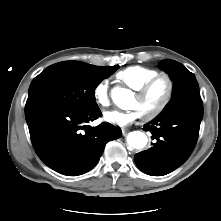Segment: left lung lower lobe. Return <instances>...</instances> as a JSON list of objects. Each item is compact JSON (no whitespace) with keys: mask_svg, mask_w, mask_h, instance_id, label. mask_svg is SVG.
Listing matches in <instances>:
<instances>
[{"mask_svg":"<svg viewBox=\"0 0 221 221\" xmlns=\"http://www.w3.org/2000/svg\"><path fill=\"white\" fill-rule=\"evenodd\" d=\"M202 117V100H196L149 122L143 130L156 141L134 156L137 167L148 175L163 176L181 166L196 145Z\"/></svg>","mask_w":221,"mask_h":221,"instance_id":"obj_1","label":"left lung lower lobe"}]
</instances>
